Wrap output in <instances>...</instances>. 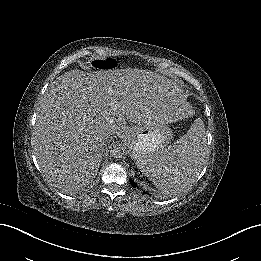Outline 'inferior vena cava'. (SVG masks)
I'll use <instances>...</instances> for the list:
<instances>
[{
  "label": "inferior vena cava",
  "mask_w": 261,
  "mask_h": 261,
  "mask_svg": "<svg viewBox=\"0 0 261 261\" xmlns=\"http://www.w3.org/2000/svg\"><path fill=\"white\" fill-rule=\"evenodd\" d=\"M115 133H117V132H110L107 136L113 135Z\"/></svg>",
  "instance_id": "obj_1"
}]
</instances>
